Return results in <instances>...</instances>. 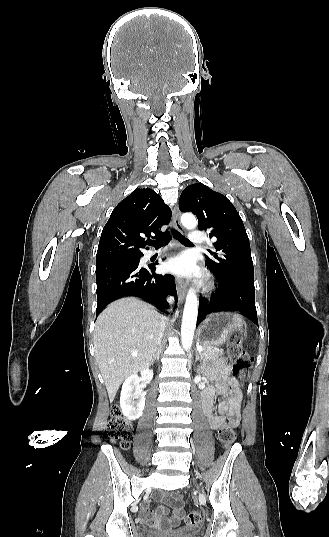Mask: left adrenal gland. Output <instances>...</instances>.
<instances>
[{
	"mask_svg": "<svg viewBox=\"0 0 329 537\" xmlns=\"http://www.w3.org/2000/svg\"><path fill=\"white\" fill-rule=\"evenodd\" d=\"M196 361H200L202 365V358L200 357L199 352L197 350H196ZM197 372L198 373L200 372V366L197 367Z\"/></svg>",
	"mask_w": 329,
	"mask_h": 537,
	"instance_id": "left-adrenal-gland-1",
	"label": "left adrenal gland"
}]
</instances>
